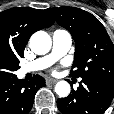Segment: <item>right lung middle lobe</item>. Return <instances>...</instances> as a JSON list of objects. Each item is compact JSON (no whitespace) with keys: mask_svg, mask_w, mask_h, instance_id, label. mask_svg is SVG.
Wrapping results in <instances>:
<instances>
[{"mask_svg":"<svg viewBox=\"0 0 114 114\" xmlns=\"http://www.w3.org/2000/svg\"><path fill=\"white\" fill-rule=\"evenodd\" d=\"M19 69V60H2L0 59V83L6 82L16 75L14 71Z\"/></svg>","mask_w":114,"mask_h":114,"instance_id":"right-lung-middle-lobe-1","label":"right lung middle lobe"}]
</instances>
